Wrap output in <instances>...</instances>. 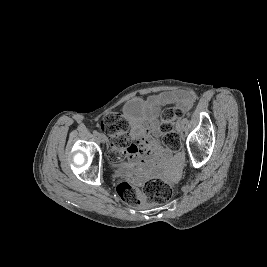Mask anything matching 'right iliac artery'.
<instances>
[{
  "instance_id": "82829eb1",
  "label": "right iliac artery",
  "mask_w": 267,
  "mask_h": 267,
  "mask_svg": "<svg viewBox=\"0 0 267 267\" xmlns=\"http://www.w3.org/2000/svg\"><path fill=\"white\" fill-rule=\"evenodd\" d=\"M93 134H94V135H98L99 133H98L97 130H94V131H93Z\"/></svg>"
}]
</instances>
